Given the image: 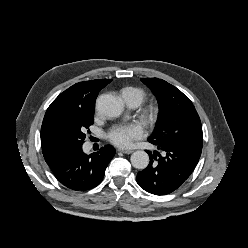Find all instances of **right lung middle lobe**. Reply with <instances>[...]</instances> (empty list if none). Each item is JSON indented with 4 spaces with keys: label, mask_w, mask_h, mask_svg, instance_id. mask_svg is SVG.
<instances>
[{
    "label": "right lung middle lobe",
    "mask_w": 248,
    "mask_h": 248,
    "mask_svg": "<svg viewBox=\"0 0 248 248\" xmlns=\"http://www.w3.org/2000/svg\"><path fill=\"white\" fill-rule=\"evenodd\" d=\"M93 115V109L62 112L54 119L52 130L66 147L82 145L86 137L85 130L93 124Z\"/></svg>",
    "instance_id": "dd1d6c3e"
}]
</instances>
